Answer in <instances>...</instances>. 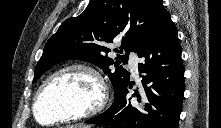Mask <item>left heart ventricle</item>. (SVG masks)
<instances>
[{"label":"left heart ventricle","mask_w":221,"mask_h":128,"mask_svg":"<svg viewBox=\"0 0 221 128\" xmlns=\"http://www.w3.org/2000/svg\"><path fill=\"white\" fill-rule=\"evenodd\" d=\"M95 92L93 80L79 71H69L51 80L37 105L40 122L48 123L69 113H76L90 104Z\"/></svg>","instance_id":"1"}]
</instances>
